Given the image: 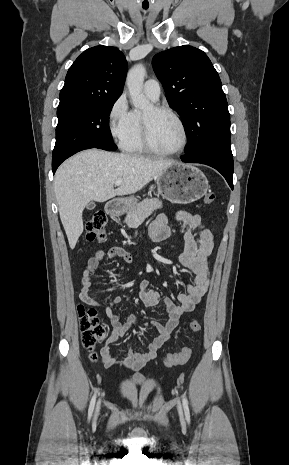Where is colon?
I'll list each match as a JSON object with an SVG mask.
<instances>
[{
	"label": "colon",
	"mask_w": 289,
	"mask_h": 465,
	"mask_svg": "<svg viewBox=\"0 0 289 465\" xmlns=\"http://www.w3.org/2000/svg\"><path fill=\"white\" fill-rule=\"evenodd\" d=\"M215 193L210 191L204 197L206 205L215 201ZM107 222L106 215L103 212H97L87 223V238L90 241H103L106 236L105 225ZM78 315L80 321L81 342L93 359L97 358L96 348L102 342L106 335V328L102 324L93 308H87L84 305L78 306ZM192 332H199L201 325L197 321L189 324ZM192 354L190 347L185 346L179 352L169 353L165 356L164 364L167 367L181 365L186 363Z\"/></svg>",
	"instance_id": "5ec220e1"
}]
</instances>
